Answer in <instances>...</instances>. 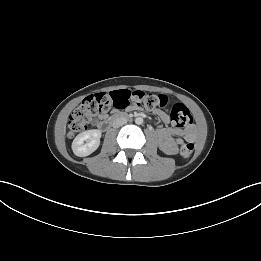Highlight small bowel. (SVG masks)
<instances>
[{"mask_svg":"<svg viewBox=\"0 0 261 261\" xmlns=\"http://www.w3.org/2000/svg\"><path fill=\"white\" fill-rule=\"evenodd\" d=\"M154 113L164 122L169 123L170 117L161 110H155ZM103 114L98 115V119H103ZM179 136H184L186 140L195 139V130L192 127L181 129L178 127H164L156 130V137L159 147L167 154H176L178 147L183 143Z\"/></svg>","mask_w":261,"mask_h":261,"instance_id":"obj_1","label":"small bowel"}]
</instances>
